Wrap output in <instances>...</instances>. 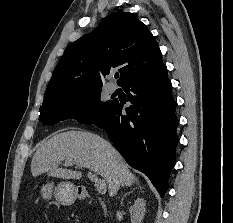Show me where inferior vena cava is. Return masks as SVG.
<instances>
[{"mask_svg": "<svg viewBox=\"0 0 233 223\" xmlns=\"http://www.w3.org/2000/svg\"><path fill=\"white\" fill-rule=\"evenodd\" d=\"M115 185H116V191H118V187H119L118 181H116Z\"/></svg>", "mask_w": 233, "mask_h": 223, "instance_id": "obj_1", "label": "inferior vena cava"}]
</instances>
